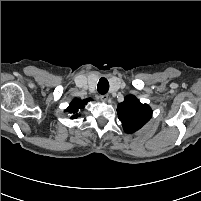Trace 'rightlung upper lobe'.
Wrapping results in <instances>:
<instances>
[{
    "mask_svg": "<svg viewBox=\"0 0 201 201\" xmlns=\"http://www.w3.org/2000/svg\"><path fill=\"white\" fill-rule=\"evenodd\" d=\"M89 101H91L90 98L84 99V100H80V99H74L72 100V102L70 103L69 107L66 109V111H68L69 113H73L74 115L71 117L72 119L77 117L76 112L78 111V109L84 107V105H86Z\"/></svg>",
    "mask_w": 201,
    "mask_h": 201,
    "instance_id": "obj_1",
    "label": "right lung upper lobe"
}]
</instances>
